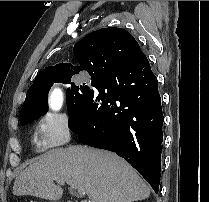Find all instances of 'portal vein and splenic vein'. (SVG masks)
<instances>
[{"label":"portal vein and splenic vein","instance_id":"18ae733b","mask_svg":"<svg viewBox=\"0 0 209 202\" xmlns=\"http://www.w3.org/2000/svg\"><path fill=\"white\" fill-rule=\"evenodd\" d=\"M55 182L60 184V185H64L65 184V182L63 180H61V179H55ZM78 193L79 194H85V191L78 189Z\"/></svg>","mask_w":209,"mask_h":202}]
</instances>
